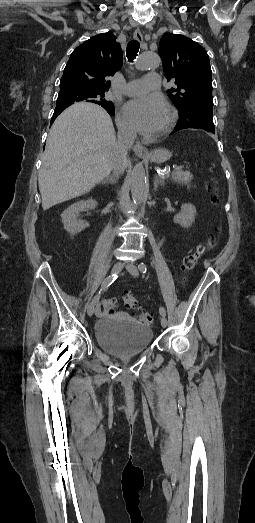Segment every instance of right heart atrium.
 Returning <instances> with one entry per match:
<instances>
[{
    "label": "right heart atrium",
    "mask_w": 255,
    "mask_h": 523,
    "mask_svg": "<svg viewBox=\"0 0 255 523\" xmlns=\"http://www.w3.org/2000/svg\"><path fill=\"white\" fill-rule=\"evenodd\" d=\"M116 122L118 125L119 130L124 136L132 137L134 135V131L130 124L126 121V119L122 116V114L118 113L116 117Z\"/></svg>",
    "instance_id": "d8ad5b80"
}]
</instances>
